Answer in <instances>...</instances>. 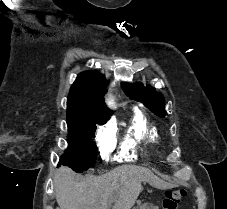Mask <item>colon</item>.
I'll list each match as a JSON object with an SVG mask.
<instances>
[{
    "label": "colon",
    "mask_w": 227,
    "mask_h": 209,
    "mask_svg": "<svg viewBox=\"0 0 227 209\" xmlns=\"http://www.w3.org/2000/svg\"><path fill=\"white\" fill-rule=\"evenodd\" d=\"M186 195V191L183 189L174 188L167 190L162 199V209H178Z\"/></svg>",
    "instance_id": "5ec220e1"
}]
</instances>
